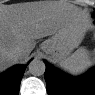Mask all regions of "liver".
<instances>
[{
    "label": "liver",
    "mask_w": 95,
    "mask_h": 95,
    "mask_svg": "<svg viewBox=\"0 0 95 95\" xmlns=\"http://www.w3.org/2000/svg\"><path fill=\"white\" fill-rule=\"evenodd\" d=\"M81 22L83 16L73 7H62L56 3H24L2 5L0 8V67L5 70L26 59L35 48V40L51 36L69 22ZM19 47L21 56L13 51Z\"/></svg>",
    "instance_id": "obj_1"
}]
</instances>
